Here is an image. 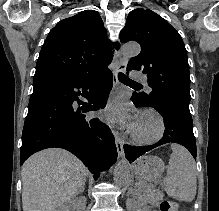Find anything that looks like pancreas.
Masks as SVG:
<instances>
[{
    "mask_svg": "<svg viewBox=\"0 0 219 211\" xmlns=\"http://www.w3.org/2000/svg\"><path fill=\"white\" fill-rule=\"evenodd\" d=\"M140 189L142 186H135ZM162 193L158 191V189H153V187H145L142 189V192H138L135 196L137 200L146 199L149 203H159V199H161Z\"/></svg>",
    "mask_w": 219,
    "mask_h": 211,
    "instance_id": "obj_1",
    "label": "pancreas"
}]
</instances>
